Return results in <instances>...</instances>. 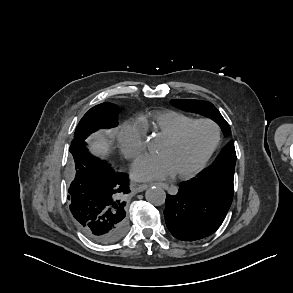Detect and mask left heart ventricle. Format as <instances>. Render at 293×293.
<instances>
[{
    "label": "left heart ventricle",
    "instance_id": "1",
    "mask_svg": "<svg viewBox=\"0 0 293 293\" xmlns=\"http://www.w3.org/2000/svg\"><path fill=\"white\" fill-rule=\"evenodd\" d=\"M215 137L213 127L207 124H197L175 143L163 140L158 153L165 155L175 173L191 170L204 156Z\"/></svg>",
    "mask_w": 293,
    "mask_h": 293
}]
</instances>
